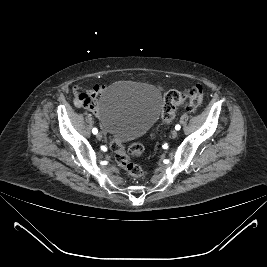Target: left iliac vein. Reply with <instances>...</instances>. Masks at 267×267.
Here are the masks:
<instances>
[{"label": "left iliac vein", "mask_w": 267, "mask_h": 267, "mask_svg": "<svg viewBox=\"0 0 267 267\" xmlns=\"http://www.w3.org/2000/svg\"><path fill=\"white\" fill-rule=\"evenodd\" d=\"M177 135H178V132L176 130L172 131V133H171L172 138H176Z\"/></svg>", "instance_id": "4c4485c4"}]
</instances>
